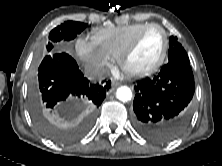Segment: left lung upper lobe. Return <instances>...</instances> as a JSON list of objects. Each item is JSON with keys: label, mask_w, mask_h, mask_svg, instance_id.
<instances>
[{"label": "left lung upper lobe", "mask_w": 222, "mask_h": 166, "mask_svg": "<svg viewBox=\"0 0 222 166\" xmlns=\"http://www.w3.org/2000/svg\"><path fill=\"white\" fill-rule=\"evenodd\" d=\"M169 51H168V59L169 63L174 62H186L190 63L188 55L181 44L178 42L177 37L171 36L169 38Z\"/></svg>", "instance_id": "1"}]
</instances>
